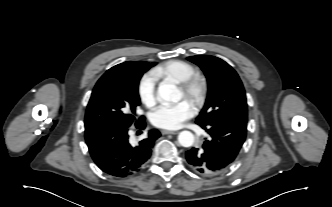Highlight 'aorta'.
<instances>
[{"mask_svg": "<svg viewBox=\"0 0 332 207\" xmlns=\"http://www.w3.org/2000/svg\"><path fill=\"white\" fill-rule=\"evenodd\" d=\"M158 97L166 102H178L182 95L174 84L162 82L158 87ZM179 144L183 147H191L194 143V135L190 131H182L178 135Z\"/></svg>", "mask_w": 332, "mask_h": 207, "instance_id": "obj_1", "label": "aorta"}]
</instances>
